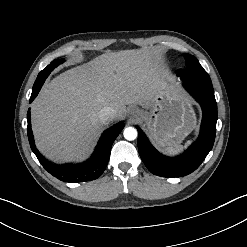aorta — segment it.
Wrapping results in <instances>:
<instances>
[{
    "instance_id": "762f6f07",
    "label": "aorta",
    "mask_w": 247,
    "mask_h": 247,
    "mask_svg": "<svg viewBox=\"0 0 247 247\" xmlns=\"http://www.w3.org/2000/svg\"><path fill=\"white\" fill-rule=\"evenodd\" d=\"M123 135L126 140H135L137 138V130L134 127H127L124 129Z\"/></svg>"
}]
</instances>
